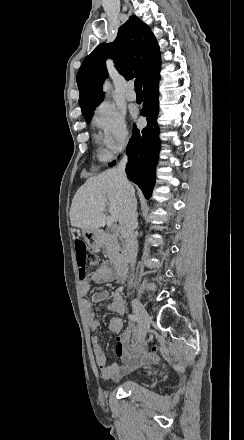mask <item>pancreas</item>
<instances>
[{
  "instance_id": "pancreas-1",
  "label": "pancreas",
  "mask_w": 244,
  "mask_h": 440,
  "mask_svg": "<svg viewBox=\"0 0 244 440\" xmlns=\"http://www.w3.org/2000/svg\"><path fill=\"white\" fill-rule=\"evenodd\" d=\"M119 234H102V246L104 248V254H107L112 264H118L120 262V244Z\"/></svg>"
}]
</instances>
